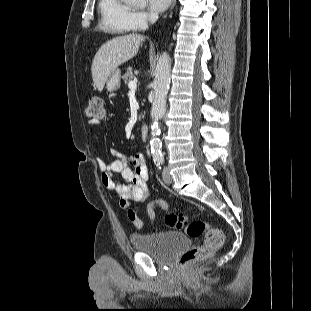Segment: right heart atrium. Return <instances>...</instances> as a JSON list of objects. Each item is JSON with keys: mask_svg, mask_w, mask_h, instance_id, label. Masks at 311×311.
I'll return each mask as SVG.
<instances>
[{"mask_svg": "<svg viewBox=\"0 0 311 311\" xmlns=\"http://www.w3.org/2000/svg\"><path fill=\"white\" fill-rule=\"evenodd\" d=\"M154 16L146 11H134L131 14V22L135 30L144 29Z\"/></svg>", "mask_w": 311, "mask_h": 311, "instance_id": "d8ad5b80", "label": "right heart atrium"}]
</instances>
